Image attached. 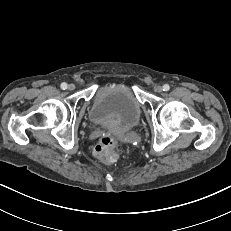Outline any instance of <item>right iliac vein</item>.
Returning <instances> with one entry per match:
<instances>
[{
  "mask_svg": "<svg viewBox=\"0 0 231 231\" xmlns=\"http://www.w3.org/2000/svg\"><path fill=\"white\" fill-rule=\"evenodd\" d=\"M67 88H68L69 91H73L75 89V85L74 84H69Z\"/></svg>",
  "mask_w": 231,
  "mask_h": 231,
  "instance_id": "1",
  "label": "right iliac vein"
}]
</instances>
